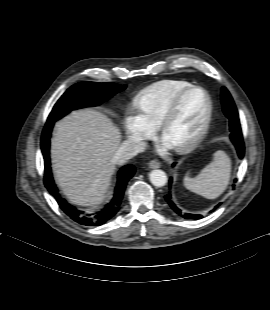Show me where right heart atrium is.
<instances>
[{
	"mask_svg": "<svg viewBox=\"0 0 270 310\" xmlns=\"http://www.w3.org/2000/svg\"><path fill=\"white\" fill-rule=\"evenodd\" d=\"M124 128L131 140L144 141L155 132V127L146 119L137 104H130L124 113Z\"/></svg>",
	"mask_w": 270,
	"mask_h": 310,
	"instance_id": "1",
	"label": "right heart atrium"
}]
</instances>
